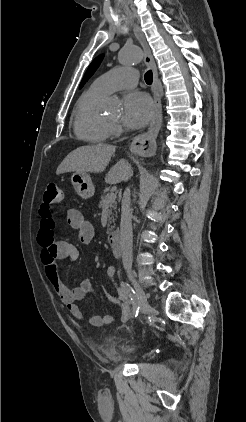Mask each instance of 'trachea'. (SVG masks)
I'll use <instances>...</instances> for the list:
<instances>
[{"label":"trachea","instance_id":"trachea-1","mask_svg":"<svg viewBox=\"0 0 246 422\" xmlns=\"http://www.w3.org/2000/svg\"><path fill=\"white\" fill-rule=\"evenodd\" d=\"M144 79H145V82H146L148 85H151V84H152V81H153V73H152V71H151V70H149V71H147V72L145 73Z\"/></svg>","mask_w":246,"mask_h":422}]
</instances>
